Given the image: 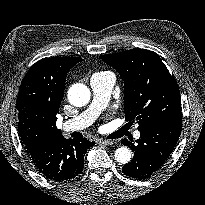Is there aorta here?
Here are the masks:
<instances>
[{
	"label": "aorta",
	"instance_id": "obj_1",
	"mask_svg": "<svg viewBox=\"0 0 205 205\" xmlns=\"http://www.w3.org/2000/svg\"><path fill=\"white\" fill-rule=\"evenodd\" d=\"M68 100L75 107L85 106L90 100L89 88L81 83L72 85L68 91ZM131 151L127 147H120L115 151V160L127 164L131 160Z\"/></svg>",
	"mask_w": 205,
	"mask_h": 205
}]
</instances>
